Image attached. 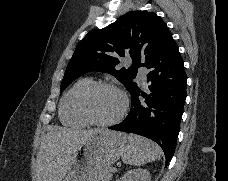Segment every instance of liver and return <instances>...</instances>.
Instances as JSON below:
<instances>
[{
  "instance_id": "1",
  "label": "liver",
  "mask_w": 228,
  "mask_h": 181,
  "mask_svg": "<svg viewBox=\"0 0 228 181\" xmlns=\"http://www.w3.org/2000/svg\"><path fill=\"white\" fill-rule=\"evenodd\" d=\"M103 131H79V129H50L42 139L36 161L37 181H63L73 157L92 133Z\"/></svg>"
}]
</instances>
